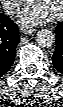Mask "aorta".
I'll return each instance as SVG.
<instances>
[{
  "label": "aorta",
  "instance_id": "obj_1",
  "mask_svg": "<svg viewBox=\"0 0 63 107\" xmlns=\"http://www.w3.org/2000/svg\"><path fill=\"white\" fill-rule=\"evenodd\" d=\"M36 41L41 47H50L55 43V34L49 29H41L36 34Z\"/></svg>",
  "mask_w": 63,
  "mask_h": 107
}]
</instances>
